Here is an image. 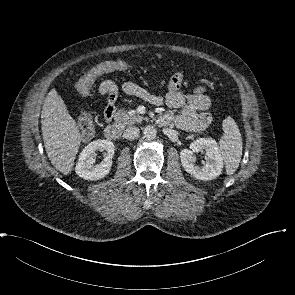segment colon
<instances>
[{
  "label": "colon",
  "mask_w": 295,
  "mask_h": 295,
  "mask_svg": "<svg viewBox=\"0 0 295 295\" xmlns=\"http://www.w3.org/2000/svg\"><path fill=\"white\" fill-rule=\"evenodd\" d=\"M130 67V65L124 61L121 60H113V61H105L97 66H95L93 69L87 72L84 79L81 82V91L83 93H88L91 89V86L95 79L104 73H110V72H118V71H125ZM174 84L181 85L182 77L180 75H175L172 80ZM79 126L81 129L82 134L84 135H91L94 130V120L93 116L89 112H84L79 119Z\"/></svg>",
  "instance_id": "colon-1"
}]
</instances>
